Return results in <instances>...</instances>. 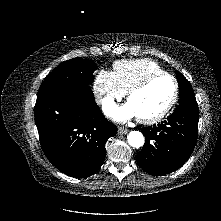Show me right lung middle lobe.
Returning <instances> with one entry per match:
<instances>
[{
  "mask_svg": "<svg viewBox=\"0 0 221 221\" xmlns=\"http://www.w3.org/2000/svg\"><path fill=\"white\" fill-rule=\"evenodd\" d=\"M97 65L88 59H71L61 63L45 78L39 93L78 85H90Z\"/></svg>",
  "mask_w": 221,
  "mask_h": 221,
  "instance_id": "obj_1",
  "label": "right lung middle lobe"
}]
</instances>
